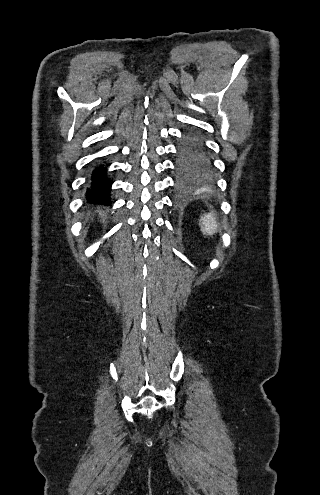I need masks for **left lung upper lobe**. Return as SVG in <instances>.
Masks as SVG:
<instances>
[{
    "label": "left lung upper lobe",
    "instance_id": "left-lung-upper-lobe-1",
    "mask_svg": "<svg viewBox=\"0 0 320 495\" xmlns=\"http://www.w3.org/2000/svg\"><path fill=\"white\" fill-rule=\"evenodd\" d=\"M210 167L208 158L202 151L198 139L188 135L179 149L177 168L183 174H190Z\"/></svg>",
    "mask_w": 320,
    "mask_h": 495
}]
</instances>
